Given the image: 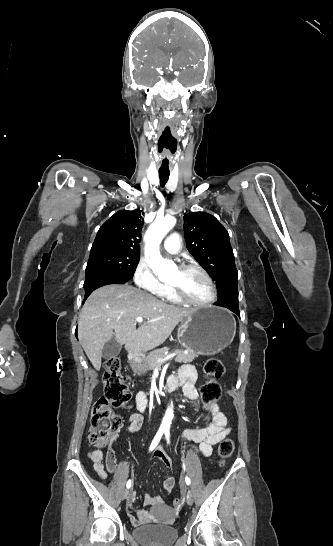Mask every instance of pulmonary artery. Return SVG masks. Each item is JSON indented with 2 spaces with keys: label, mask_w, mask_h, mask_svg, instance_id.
<instances>
[{
  "label": "pulmonary artery",
  "mask_w": 333,
  "mask_h": 546,
  "mask_svg": "<svg viewBox=\"0 0 333 546\" xmlns=\"http://www.w3.org/2000/svg\"><path fill=\"white\" fill-rule=\"evenodd\" d=\"M163 247L166 252L176 254L181 248V238L178 233L170 234L164 241Z\"/></svg>",
  "instance_id": "obj_1"
}]
</instances>
